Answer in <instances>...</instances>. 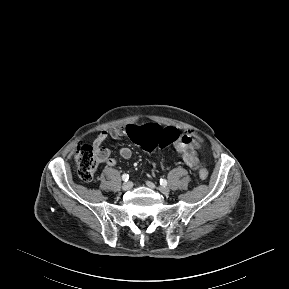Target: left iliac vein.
I'll return each instance as SVG.
<instances>
[{"label": "left iliac vein", "mask_w": 289, "mask_h": 289, "mask_svg": "<svg viewBox=\"0 0 289 289\" xmlns=\"http://www.w3.org/2000/svg\"><path fill=\"white\" fill-rule=\"evenodd\" d=\"M147 185H148V187L155 189V185L152 182L148 181ZM158 189L161 193H163L165 195H168L170 193V189L168 187L159 186Z\"/></svg>", "instance_id": "1"}]
</instances>
